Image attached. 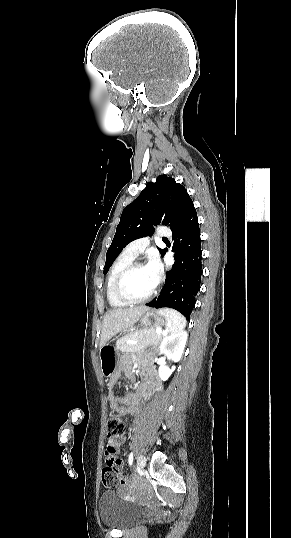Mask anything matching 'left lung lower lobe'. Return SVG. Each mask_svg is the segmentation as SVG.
<instances>
[{"mask_svg":"<svg viewBox=\"0 0 291 538\" xmlns=\"http://www.w3.org/2000/svg\"><path fill=\"white\" fill-rule=\"evenodd\" d=\"M173 233L177 252L175 265L166 273V281L159 296L146 305L174 308L190 319L202 275L200 230L195 209L175 227Z\"/></svg>","mask_w":291,"mask_h":538,"instance_id":"obj_1","label":"left lung lower lobe"}]
</instances>
